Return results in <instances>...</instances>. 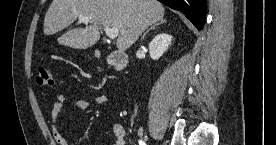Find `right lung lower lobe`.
I'll list each match as a JSON object with an SVG mask.
<instances>
[{
  "label": "right lung lower lobe",
  "mask_w": 276,
  "mask_h": 145,
  "mask_svg": "<svg viewBox=\"0 0 276 145\" xmlns=\"http://www.w3.org/2000/svg\"><path fill=\"white\" fill-rule=\"evenodd\" d=\"M168 7L179 10L198 29L202 30L206 15V0H158Z\"/></svg>",
  "instance_id": "1"
}]
</instances>
